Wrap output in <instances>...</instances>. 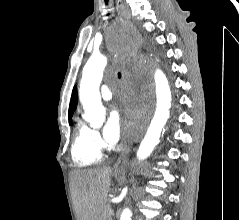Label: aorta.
I'll list each match as a JSON object with an SVG mask.
<instances>
[{
    "mask_svg": "<svg viewBox=\"0 0 239 220\" xmlns=\"http://www.w3.org/2000/svg\"><path fill=\"white\" fill-rule=\"evenodd\" d=\"M114 40H134V33H114ZM135 46V45H113ZM145 60H154L145 58ZM107 64L104 55H93L90 57L83 69L80 84L79 98L85 111V119L95 127L100 126L105 119V108L102 105L99 92L103 71ZM151 73L156 89V110L150 126L137 150L136 156L139 161L147 159L160 141L162 130L169 118L171 107V92L168 80L163 73L160 64L154 65V70H146ZM120 220H132L130 208L123 209Z\"/></svg>",
    "mask_w": 239,
    "mask_h": 220,
    "instance_id": "aorta-1",
    "label": "aorta"
}]
</instances>
